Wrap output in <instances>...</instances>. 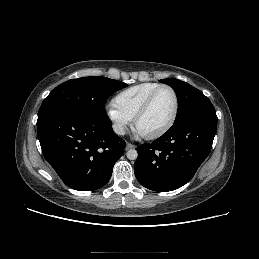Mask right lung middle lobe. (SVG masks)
Here are the masks:
<instances>
[{"label": "right lung middle lobe", "mask_w": 259, "mask_h": 259, "mask_svg": "<svg viewBox=\"0 0 259 259\" xmlns=\"http://www.w3.org/2000/svg\"><path fill=\"white\" fill-rule=\"evenodd\" d=\"M126 86L121 81L101 76L68 80L53 89L44 99L38 120L61 110H75L98 118H108L104 109L106 100Z\"/></svg>", "instance_id": "1"}]
</instances>
